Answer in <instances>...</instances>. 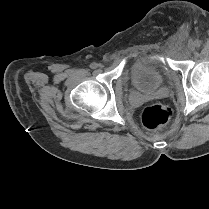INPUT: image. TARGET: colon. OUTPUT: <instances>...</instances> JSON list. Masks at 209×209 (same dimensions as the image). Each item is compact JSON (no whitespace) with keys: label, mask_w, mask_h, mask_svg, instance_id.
I'll list each match as a JSON object with an SVG mask.
<instances>
[{"label":"colon","mask_w":209,"mask_h":209,"mask_svg":"<svg viewBox=\"0 0 209 209\" xmlns=\"http://www.w3.org/2000/svg\"><path fill=\"white\" fill-rule=\"evenodd\" d=\"M172 117L170 108L163 105H151L142 112V124L148 129H158L166 125Z\"/></svg>","instance_id":"obj_1"}]
</instances>
